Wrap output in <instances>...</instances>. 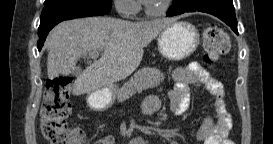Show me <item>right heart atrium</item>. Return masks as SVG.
I'll list each match as a JSON object with an SVG mask.
<instances>
[{"mask_svg":"<svg viewBox=\"0 0 273 144\" xmlns=\"http://www.w3.org/2000/svg\"><path fill=\"white\" fill-rule=\"evenodd\" d=\"M116 10L125 16H130L138 11V5L134 0H114Z\"/></svg>","mask_w":273,"mask_h":144,"instance_id":"1","label":"right heart atrium"}]
</instances>
